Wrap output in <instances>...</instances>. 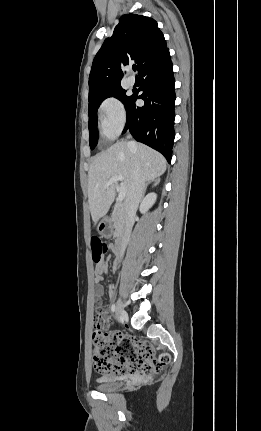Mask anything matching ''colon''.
Listing matches in <instances>:
<instances>
[{"instance_id":"5ec220e1","label":"colon","mask_w":261,"mask_h":431,"mask_svg":"<svg viewBox=\"0 0 261 431\" xmlns=\"http://www.w3.org/2000/svg\"><path fill=\"white\" fill-rule=\"evenodd\" d=\"M92 257L100 264L108 250L105 241L97 236L91 238ZM93 361L97 371L102 373L133 374L149 377L159 373L171 361L168 354L158 357L146 343L119 332H104L102 321L95 320L93 332Z\"/></svg>"}]
</instances>
